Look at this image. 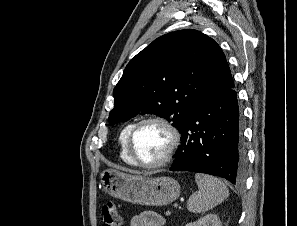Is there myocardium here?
Here are the masks:
<instances>
[{
	"label": "myocardium",
	"mask_w": 297,
	"mask_h": 226,
	"mask_svg": "<svg viewBox=\"0 0 297 226\" xmlns=\"http://www.w3.org/2000/svg\"><path fill=\"white\" fill-rule=\"evenodd\" d=\"M148 123H154V124H158L160 126H162L170 135V141L168 144V147L166 149L165 154L163 155L162 158H160L159 160L152 162V163H145L140 161L133 149V140H134V136L138 130L139 127H141L144 124H148ZM181 143V134L180 131L178 130V128L172 123V121L168 120L165 117L162 116H148L145 118H142L138 121H136L127 136V140H126V146H127V152L131 158V160L133 161V163L136 166H139L141 168H145V169H156V168H160L162 166L167 165L173 158V156L175 155L179 145Z\"/></svg>",
	"instance_id": "obj_1"
}]
</instances>
